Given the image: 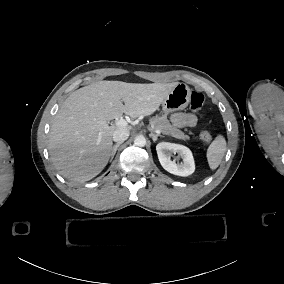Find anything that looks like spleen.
Instances as JSON below:
<instances>
[{
	"mask_svg": "<svg viewBox=\"0 0 284 284\" xmlns=\"http://www.w3.org/2000/svg\"><path fill=\"white\" fill-rule=\"evenodd\" d=\"M227 141L223 134H217L207 148L206 159L211 171H214L221 164L226 153Z\"/></svg>",
	"mask_w": 284,
	"mask_h": 284,
	"instance_id": "3e777b00",
	"label": "spleen"
}]
</instances>
